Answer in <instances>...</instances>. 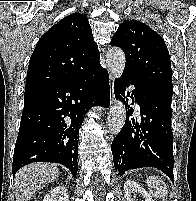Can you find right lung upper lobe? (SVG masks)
<instances>
[{"label": "right lung upper lobe", "mask_w": 196, "mask_h": 201, "mask_svg": "<svg viewBox=\"0 0 196 201\" xmlns=\"http://www.w3.org/2000/svg\"><path fill=\"white\" fill-rule=\"evenodd\" d=\"M100 53L87 17L74 13L52 26L30 58L25 91L71 79L93 64Z\"/></svg>", "instance_id": "obj_1"}]
</instances>
